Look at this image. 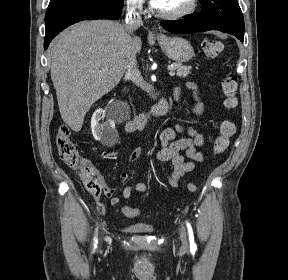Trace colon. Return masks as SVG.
Here are the masks:
<instances>
[{"label": "colon", "mask_w": 288, "mask_h": 280, "mask_svg": "<svg viewBox=\"0 0 288 280\" xmlns=\"http://www.w3.org/2000/svg\"><path fill=\"white\" fill-rule=\"evenodd\" d=\"M224 49L222 42L213 39H206L202 42V50L207 58H217ZM222 90L225 96L224 106L226 109H234L237 106L238 78L235 75H227L222 81ZM235 133V125L232 121L225 120L220 125V133L216 137L213 145V155L224 152L230 142V138ZM56 145L59 157L71 169L80 173L85 188L92 195H99L103 190V185L99 179L95 166L87 159L83 158L71 138L70 129L62 125L56 136ZM188 190L196 192L198 185L195 182L188 183ZM122 213L130 218L139 217L142 212L138 208L124 206Z\"/></svg>", "instance_id": "colon-1"}]
</instances>
